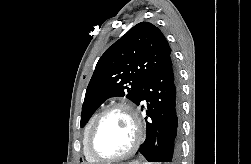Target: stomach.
<instances>
[{
	"label": "stomach",
	"mask_w": 251,
	"mask_h": 164,
	"mask_svg": "<svg viewBox=\"0 0 251 164\" xmlns=\"http://www.w3.org/2000/svg\"><path fill=\"white\" fill-rule=\"evenodd\" d=\"M132 163V162H131ZM132 164H141L138 161L133 162ZM144 164V163H143Z\"/></svg>",
	"instance_id": "obj_1"
}]
</instances>
